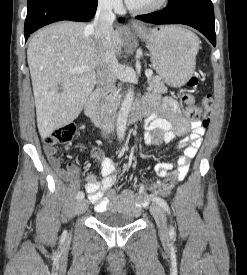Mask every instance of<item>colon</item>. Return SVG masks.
Instances as JSON below:
<instances>
[{"label":"colon","instance_id":"5ec220e1","mask_svg":"<svg viewBox=\"0 0 247 275\" xmlns=\"http://www.w3.org/2000/svg\"><path fill=\"white\" fill-rule=\"evenodd\" d=\"M198 83V78L196 76H192L187 85L190 87L196 86ZM181 106L185 112V114L190 119H198L201 115V109L195 105V97L191 93H184L181 96ZM203 107V125L207 127L210 123L212 116V108H213V98L211 95H206L202 100ZM77 134V128L74 124H67L62 127L54 130L50 135H47L44 138V143L46 145H57V144H65L71 141ZM176 178L170 177L166 180L156 183L149 187V191L155 194L166 193L171 190L174 186Z\"/></svg>","mask_w":247,"mask_h":275}]
</instances>
